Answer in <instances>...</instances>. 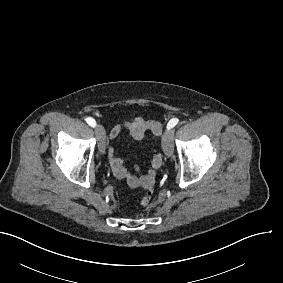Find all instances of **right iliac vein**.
Masks as SVG:
<instances>
[{"mask_svg": "<svg viewBox=\"0 0 283 283\" xmlns=\"http://www.w3.org/2000/svg\"><path fill=\"white\" fill-rule=\"evenodd\" d=\"M97 137L99 139V151L101 154L105 153L106 149V136H105V131L104 128L101 125H97L95 127Z\"/></svg>", "mask_w": 283, "mask_h": 283, "instance_id": "1", "label": "right iliac vein"}]
</instances>
